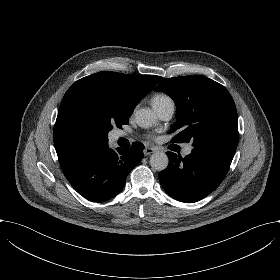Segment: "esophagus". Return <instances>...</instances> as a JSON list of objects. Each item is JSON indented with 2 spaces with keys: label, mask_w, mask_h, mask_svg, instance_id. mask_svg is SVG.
Returning a JSON list of instances; mask_svg holds the SVG:
<instances>
[{
  "label": "esophagus",
  "mask_w": 280,
  "mask_h": 280,
  "mask_svg": "<svg viewBox=\"0 0 280 280\" xmlns=\"http://www.w3.org/2000/svg\"><path fill=\"white\" fill-rule=\"evenodd\" d=\"M155 152V149L154 148H151V147H146L143 151L144 155L145 156H149L151 155L152 153Z\"/></svg>",
  "instance_id": "1"
}]
</instances>
